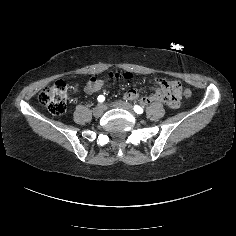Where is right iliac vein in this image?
Instances as JSON below:
<instances>
[{"label":"right iliac vein","mask_w":236,"mask_h":236,"mask_svg":"<svg viewBox=\"0 0 236 236\" xmlns=\"http://www.w3.org/2000/svg\"><path fill=\"white\" fill-rule=\"evenodd\" d=\"M105 107L101 104L97 105L93 110V115L95 117H101L104 113Z\"/></svg>","instance_id":"63e3f726"}]
</instances>
